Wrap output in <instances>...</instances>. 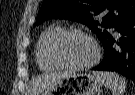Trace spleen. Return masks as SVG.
I'll return each mask as SVG.
<instances>
[{"instance_id":"obj_1","label":"spleen","mask_w":135,"mask_h":95,"mask_svg":"<svg viewBox=\"0 0 135 95\" xmlns=\"http://www.w3.org/2000/svg\"><path fill=\"white\" fill-rule=\"evenodd\" d=\"M95 75L101 78L105 87L109 88L112 95H123L126 88V81L119 75L113 72H94Z\"/></svg>"}]
</instances>
